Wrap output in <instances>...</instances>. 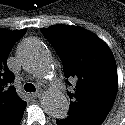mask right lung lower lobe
I'll list each match as a JSON object with an SVG mask.
<instances>
[{"instance_id":"1","label":"right lung lower lobe","mask_w":125,"mask_h":125,"mask_svg":"<svg viewBox=\"0 0 125 125\" xmlns=\"http://www.w3.org/2000/svg\"><path fill=\"white\" fill-rule=\"evenodd\" d=\"M27 103H23L11 113L0 118V125H19Z\"/></svg>"}]
</instances>
